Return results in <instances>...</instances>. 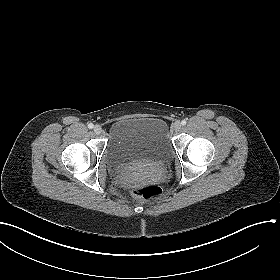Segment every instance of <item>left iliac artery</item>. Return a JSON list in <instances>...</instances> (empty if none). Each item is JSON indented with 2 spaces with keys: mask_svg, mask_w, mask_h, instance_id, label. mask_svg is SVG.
Instances as JSON below:
<instances>
[{
  "mask_svg": "<svg viewBox=\"0 0 280 280\" xmlns=\"http://www.w3.org/2000/svg\"><path fill=\"white\" fill-rule=\"evenodd\" d=\"M186 123H187L186 120H182V121H181V124H182V125H186Z\"/></svg>",
  "mask_w": 280,
  "mask_h": 280,
  "instance_id": "obj_1",
  "label": "left iliac artery"
}]
</instances>
